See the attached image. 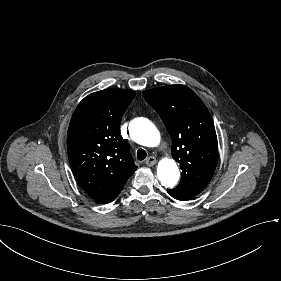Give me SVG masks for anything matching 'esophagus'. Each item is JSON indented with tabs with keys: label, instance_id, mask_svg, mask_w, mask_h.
<instances>
[{
	"label": "esophagus",
	"instance_id": "1",
	"mask_svg": "<svg viewBox=\"0 0 281 281\" xmlns=\"http://www.w3.org/2000/svg\"><path fill=\"white\" fill-rule=\"evenodd\" d=\"M145 163L147 166L151 167L157 163V160L155 157L151 156V157H148V159H146Z\"/></svg>",
	"mask_w": 281,
	"mask_h": 281
}]
</instances>
